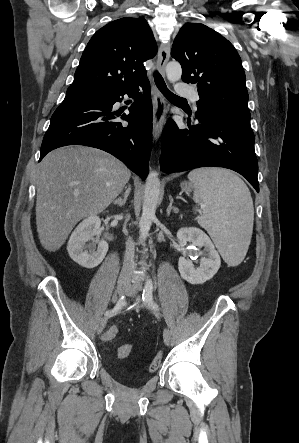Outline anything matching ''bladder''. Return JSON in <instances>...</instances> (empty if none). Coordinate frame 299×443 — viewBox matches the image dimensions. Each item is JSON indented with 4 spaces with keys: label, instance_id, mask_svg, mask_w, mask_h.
<instances>
[{
    "label": "bladder",
    "instance_id": "bladder-1",
    "mask_svg": "<svg viewBox=\"0 0 299 443\" xmlns=\"http://www.w3.org/2000/svg\"><path fill=\"white\" fill-rule=\"evenodd\" d=\"M121 379L128 384H138L145 379V376L138 373H124L121 375Z\"/></svg>",
    "mask_w": 299,
    "mask_h": 443
}]
</instances>
